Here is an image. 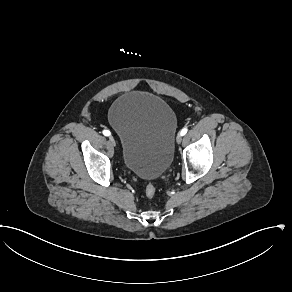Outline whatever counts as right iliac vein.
Wrapping results in <instances>:
<instances>
[{"label": "right iliac vein", "instance_id": "1", "mask_svg": "<svg viewBox=\"0 0 292 292\" xmlns=\"http://www.w3.org/2000/svg\"><path fill=\"white\" fill-rule=\"evenodd\" d=\"M109 142L112 146L116 145L115 139L113 137H109Z\"/></svg>", "mask_w": 292, "mask_h": 292}]
</instances>
